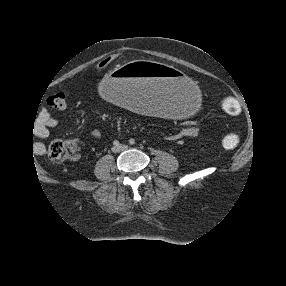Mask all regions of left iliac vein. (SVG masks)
<instances>
[{
  "instance_id": "1",
  "label": "left iliac vein",
  "mask_w": 286,
  "mask_h": 286,
  "mask_svg": "<svg viewBox=\"0 0 286 286\" xmlns=\"http://www.w3.org/2000/svg\"><path fill=\"white\" fill-rule=\"evenodd\" d=\"M127 148H128L127 145H120V146H119L120 151H124V150H126Z\"/></svg>"
}]
</instances>
